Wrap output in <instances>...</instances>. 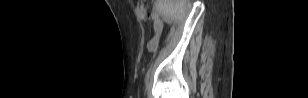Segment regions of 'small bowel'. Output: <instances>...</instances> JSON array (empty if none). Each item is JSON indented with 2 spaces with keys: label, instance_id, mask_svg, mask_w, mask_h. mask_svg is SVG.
<instances>
[{
  "label": "small bowel",
  "instance_id": "small-bowel-1",
  "mask_svg": "<svg viewBox=\"0 0 308 98\" xmlns=\"http://www.w3.org/2000/svg\"><path fill=\"white\" fill-rule=\"evenodd\" d=\"M161 30H162L161 25H156L155 26V36L148 43L149 51L153 52V51L156 50L157 44H158V36H159Z\"/></svg>",
  "mask_w": 308,
  "mask_h": 98
}]
</instances>
